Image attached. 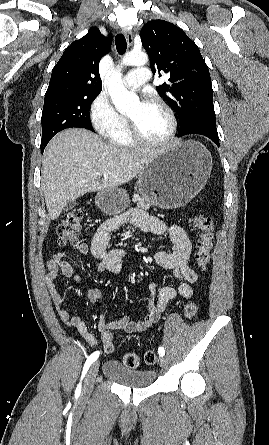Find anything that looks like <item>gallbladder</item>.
<instances>
[{
	"instance_id": "gallbladder-1",
	"label": "gallbladder",
	"mask_w": 269,
	"mask_h": 445,
	"mask_svg": "<svg viewBox=\"0 0 269 445\" xmlns=\"http://www.w3.org/2000/svg\"><path fill=\"white\" fill-rule=\"evenodd\" d=\"M76 205V201L75 200H70L66 203L64 210L68 211L71 210L72 208H74V206Z\"/></svg>"
}]
</instances>
